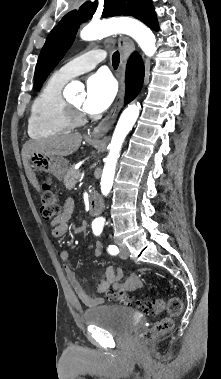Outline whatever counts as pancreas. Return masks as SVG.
<instances>
[{"instance_id":"obj_1","label":"pancreas","mask_w":221,"mask_h":379,"mask_svg":"<svg viewBox=\"0 0 221 379\" xmlns=\"http://www.w3.org/2000/svg\"><path fill=\"white\" fill-rule=\"evenodd\" d=\"M81 174L79 170H75L72 167H70L64 177V184L67 189L74 188L75 184L77 183V180L80 178Z\"/></svg>"}]
</instances>
